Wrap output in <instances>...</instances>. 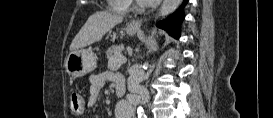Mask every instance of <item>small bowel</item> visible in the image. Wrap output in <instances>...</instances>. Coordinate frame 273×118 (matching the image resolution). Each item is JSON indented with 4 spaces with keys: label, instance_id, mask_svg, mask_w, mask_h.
<instances>
[{
    "label": "small bowel",
    "instance_id": "small-bowel-1",
    "mask_svg": "<svg viewBox=\"0 0 273 118\" xmlns=\"http://www.w3.org/2000/svg\"><path fill=\"white\" fill-rule=\"evenodd\" d=\"M124 80L120 75L114 73H102L91 76V85L89 91V97L87 100V105L89 107H95L98 103L102 89L107 81ZM132 113V110L129 106L119 105L116 108V118H129Z\"/></svg>",
    "mask_w": 273,
    "mask_h": 118
}]
</instances>
